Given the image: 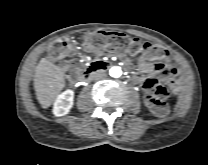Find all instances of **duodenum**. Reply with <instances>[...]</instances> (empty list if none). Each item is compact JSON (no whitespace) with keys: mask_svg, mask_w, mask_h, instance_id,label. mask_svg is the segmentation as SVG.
Masks as SVG:
<instances>
[{"mask_svg":"<svg viewBox=\"0 0 208 165\" xmlns=\"http://www.w3.org/2000/svg\"><path fill=\"white\" fill-rule=\"evenodd\" d=\"M105 64H92L82 75V80L87 81L89 80L94 74L102 71L105 69Z\"/></svg>","mask_w":208,"mask_h":165,"instance_id":"410a0bca","label":"duodenum"}]
</instances>
